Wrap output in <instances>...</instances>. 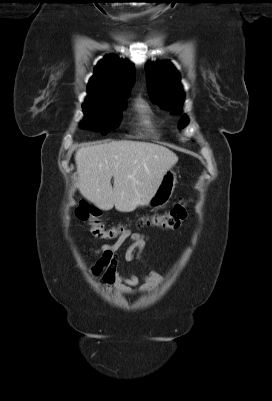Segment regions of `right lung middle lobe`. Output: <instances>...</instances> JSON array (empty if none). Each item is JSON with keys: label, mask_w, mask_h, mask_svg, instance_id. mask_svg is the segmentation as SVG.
I'll use <instances>...</instances> for the list:
<instances>
[{"label": "right lung middle lobe", "mask_w": 272, "mask_h": 401, "mask_svg": "<svg viewBox=\"0 0 272 401\" xmlns=\"http://www.w3.org/2000/svg\"><path fill=\"white\" fill-rule=\"evenodd\" d=\"M128 94L103 95L86 99L83 104L85 118L82 126L101 132L103 135L117 128L122 115L121 111L125 109V97Z\"/></svg>", "instance_id": "dd1d6c3e"}]
</instances>
